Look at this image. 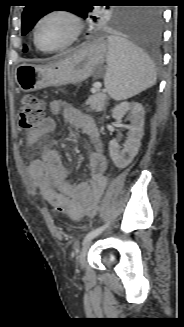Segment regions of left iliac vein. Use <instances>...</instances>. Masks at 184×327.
I'll use <instances>...</instances> for the list:
<instances>
[{
  "instance_id": "left-iliac-vein-1",
  "label": "left iliac vein",
  "mask_w": 184,
  "mask_h": 327,
  "mask_svg": "<svg viewBox=\"0 0 184 327\" xmlns=\"http://www.w3.org/2000/svg\"><path fill=\"white\" fill-rule=\"evenodd\" d=\"M90 245H91V240H88L84 243L83 247L80 250L78 260H79V264L82 268L85 266L86 257H87V253L89 251Z\"/></svg>"
}]
</instances>
